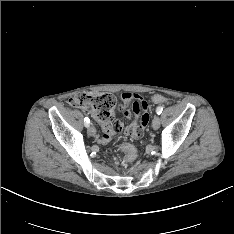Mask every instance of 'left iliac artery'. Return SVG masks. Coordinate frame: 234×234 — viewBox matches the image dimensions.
<instances>
[{
	"label": "left iliac artery",
	"mask_w": 234,
	"mask_h": 234,
	"mask_svg": "<svg viewBox=\"0 0 234 234\" xmlns=\"http://www.w3.org/2000/svg\"><path fill=\"white\" fill-rule=\"evenodd\" d=\"M162 110H163V108H162L161 106H158V107L156 108V113H157L158 115H160V114L162 113Z\"/></svg>",
	"instance_id": "44dca946"
}]
</instances>
